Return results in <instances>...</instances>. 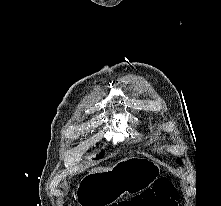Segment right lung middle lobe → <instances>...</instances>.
Instances as JSON below:
<instances>
[{"instance_id": "obj_1", "label": "right lung middle lobe", "mask_w": 221, "mask_h": 206, "mask_svg": "<svg viewBox=\"0 0 221 206\" xmlns=\"http://www.w3.org/2000/svg\"><path fill=\"white\" fill-rule=\"evenodd\" d=\"M103 156H104V153L101 152V153L96 157V159H100V158H102Z\"/></svg>"}]
</instances>
